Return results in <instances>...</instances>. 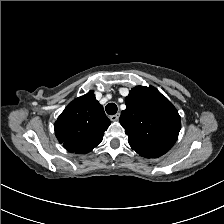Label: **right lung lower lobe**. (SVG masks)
<instances>
[{"label":"right lung lower lobe","instance_id":"right-lung-lower-lobe-1","mask_svg":"<svg viewBox=\"0 0 224 224\" xmlns=\"http://www.w3.org/2000/svg\"><path fill=\"white\" fill-rule=\"evenodd\" d=\"M65 149H67L69 152H74L75 149L72 146L63 145Z\"/></svg>","mask_w":224,"mask_h":224}]
</instances>
